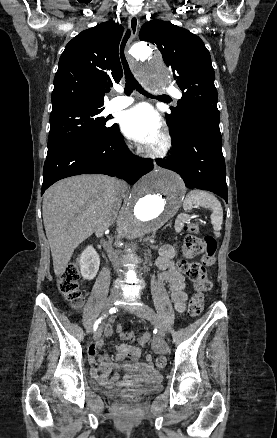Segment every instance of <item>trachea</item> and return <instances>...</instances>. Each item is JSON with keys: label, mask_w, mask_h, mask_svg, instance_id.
I'll return each mask as SVG.
<instances>
[{"label": "trachea", "mask_w": 277, "mask_h": 438, "mask_svg": "<svg viewBox=\"0 0 277 438\" xmlns=\"http://www.w3.org/2000/svg\"><path fill=\"white\" fill-rule=\"evenodd\" d=\"M129 37H130V30H127L120 47V57H121V62L123 65L125 81H126L125 89H124L125 94L130 95L133 92V90H137L139 93H142V95L148 96L149 95L148 92H146V90L142 88V86L138 83L136 78L133 76L125 58L124 49Z\"/></svg>", "instance_id": "3493384b"}]
</instances>
